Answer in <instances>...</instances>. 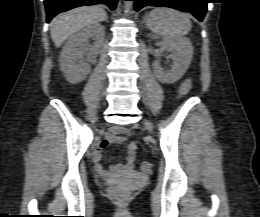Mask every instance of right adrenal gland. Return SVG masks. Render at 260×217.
Here are the masks:
<instances>
[{
    "label": "right adrenal gland",
    "mask_w": 260,
    "mask_h": 217,
    "mask_svg": "<svg viewBox=\"0 0 260 217\" xmlns=\"http://www.w3.org/2000/svg\"><path fill=\"white\" fill-rule=\"evenodd\" d=\"M105 21H108V18L106 17Z\"/></svg>",
    "instance_id": "1"
}]
</instances>
